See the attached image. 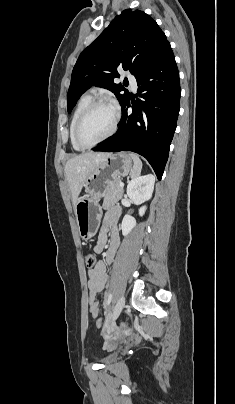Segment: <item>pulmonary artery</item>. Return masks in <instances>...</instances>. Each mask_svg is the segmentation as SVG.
Here are the masks:
<instances>
[{"label": "pulmonary artery", "mask_w": 235, "mask_h": 404, "mask_svg": "<svg viewBox=\"0 0 235 404\" xmlns=\"http://www.w3.org/2000/svg\"><path fill=\"white\" fill-rule=\"evenodd\" d=\"M127 78H128V80L130 82V85H131L132 89L134 91L137 90V88H138L137 80L129 73L127 74Z\"/></svg>", "instance_id": "1"}]
</instances>
